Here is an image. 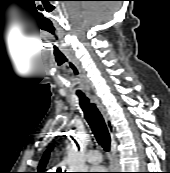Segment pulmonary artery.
I'll use <instances>...</instances> for the list:
<instances>
[{"mask_svg":"<svg viewBox=\"0 0 170 173\" xmlns=\"http://www.w3.org/2000/svg\"><path fill=\"white\" fill-rule=\"evenodd\" d=\"M86 160L90 164L97 165L102 161V155L99 150L91 149L86 153Z\"/></svg>","mask_w":170,"mask_h":173,"instance_id":"1","label":"pulmonary artery"}]
</instances>
